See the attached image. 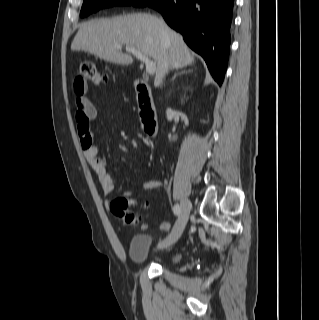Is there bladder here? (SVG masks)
Segmentation results:
<instances>
[{"instance_id":"bladder-1","label":"bladder","mask_w":319,"mask_h":320,"mask_svg":"<svg viewBox=\"0 0 319 320\" xmlns=\"http://www.w3.org/2000/svg\"><path fill=\"white\" fill-rule=\"evenodd\" d=\"M152 247V237L148 234H135L131 237L129 244V256L136 263H146L150 260V250ZM180 259V254L168 256L166 262L176 263Z\"/></svg>"}]
</instances>
